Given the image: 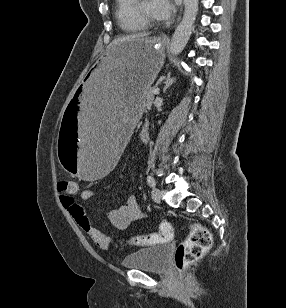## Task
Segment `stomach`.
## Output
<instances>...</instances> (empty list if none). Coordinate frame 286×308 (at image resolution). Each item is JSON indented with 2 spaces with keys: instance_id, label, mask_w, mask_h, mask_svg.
Wrapping results in <instances>:
<instances>
[{
  "instance_id": "0dacf381",
  "label": "stomach",
  "mask_w": 286,
  "mask_h": 308,
  "mask_svg": "<svg viewBox=\"0 0 286 308\" xmlns=\"http://www.w3.org/2000/svg\"><path fill=\"white\" fill-rule=\"evenodd\" d=\"M161 38L117 44L82 80L60 118L59 161L81 182H104L123 159L127 132L147 103L143 96L164 63Z\"/></svg>"
}]
</instances>
